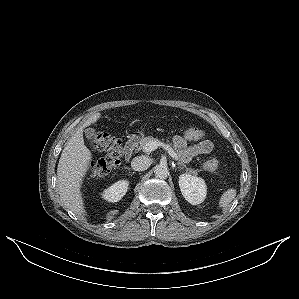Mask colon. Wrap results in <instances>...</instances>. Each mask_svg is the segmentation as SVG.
Wrapping results in <instances>:
<instances>
[{"label": "colon", "instance_id": "colon-1", "mask_svg": "<svg viewBox=\"0 0 299 299\" xmlns=\"http://www.w3.org/2000/svg\"><path fill=\"white\" fill-rule=\"evenodd\" d=\"M181 137L186 141H199L206 137L204 130L197 127H189L182 131ZM91 146L106 155L92 162V173L96 176H104L116 167L122 158L124 150L119 139L108 134L99 133L91 140ZM210 168L217 166L216 161L208 163Z\"/></svg>", "mask_w": 299, "mask_h": 299}]
</instances>
